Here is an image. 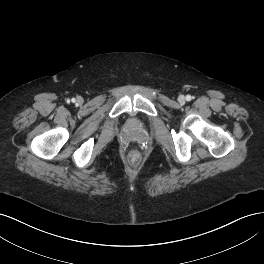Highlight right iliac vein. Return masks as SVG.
<instances>
[{
    "mask_svg": "<svg viewBox=\"0 0 264 264\" xmlns=\"http://www.w3.org/2000/svg\"><path fill=\"white\" fill-rule=\"evenodd\" d=\"M81 100H82L81 98H78V99H77V102L79 103V102H81Z\"/></svg>",
    "mask_w": 264,
    "mask_h": 264,
    "instance_id": "1",
    "label": "right iliac vein"
}]
</instances>
